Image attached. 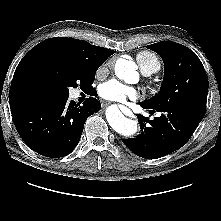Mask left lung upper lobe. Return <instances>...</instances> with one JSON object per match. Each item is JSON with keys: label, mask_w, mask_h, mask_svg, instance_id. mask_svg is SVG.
<instances>
[{"label": "left lung upper lobe", "mask_w": 221, "mask_h": 221, "mask_svg": "<svg viewBox=\"0 0 221 221\" xmlns=\"http://www.w3.org/2000/svg\"><path fill=\"white\" fill-rule=\"evenodd\" d=\"M147 48L161 56L165 74L160 92L144 103L155 110L174 106L205 110L209 85L198 56L184 45L170 41Z\"/></svg>", "instance_id": "obj_1"}]
</instances>
